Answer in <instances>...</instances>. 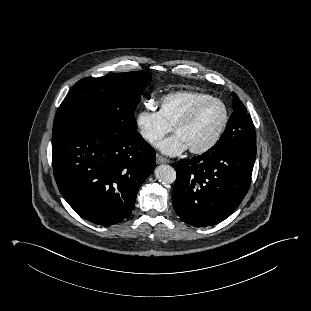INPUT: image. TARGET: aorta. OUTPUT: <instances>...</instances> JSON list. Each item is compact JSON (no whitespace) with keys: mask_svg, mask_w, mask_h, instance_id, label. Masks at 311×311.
<instances>
[{"mask_svg":"<svg viewBox=\"0 0 311 311\" xmlns=\"http://www.w3.org/2000/svg\"><path fill=\"white\" fill-rule=\"evenodd\" d=\"M156 179L163 184H171L176 180V171L170 165H160L155 169Z\"/></svg>","mask_w":311,"mask_h":311,"instance_id":"aorta-1","label":"aorta"}]
</instances>
